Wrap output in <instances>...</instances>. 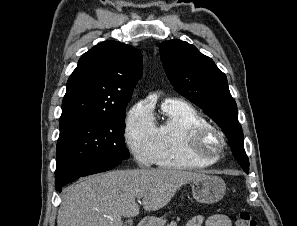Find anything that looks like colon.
I'll return each instance as SVG.
<instances>
[{
	"instance_id": "5ec220e1",
	"label": "colon",
	"mask_w": 297,
	"mask_h": 226,
	"mask_svg": "<svg viewBox=\"0 0 297 226\" xmlns=\"http://www.w3.org/2000/svg\"><path fill=\"white\" fill-rule=\"evenodd\" d=\"M236 226H256V221L248 213L241 212L236 216Z\"/></svg>"
}]
</instances>
